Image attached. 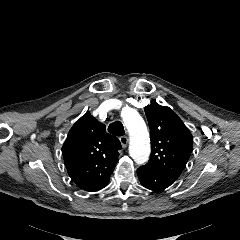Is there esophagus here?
I'll return each mask as SVG.
<instances>
[{"label":"esophagus","mask_w":240,"mask_h":240,"mask_svg":"<svg viewBox=\"0 0 240 240\" xmlns=\"http://www.w3.org/2000/svg\"><path fill=\"white\" fill-rule=\"evenodd\" d=\"M128 141H129V140H128V137H127V136H122V137L120 138V142H121V145H122L123 148L127 147Z\"/></svg>","instance_id":"1"}]
</instances>
